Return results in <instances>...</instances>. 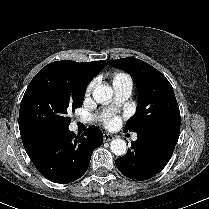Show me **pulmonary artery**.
Listing matches in <instances>:
<instances>
[{
	"mask_svg": "<svg viewBox=\"0 0 209 209\" xmlns=\"http://www.w3.org/2000/svg\"><path fill=\"white\" fill-rule=\"evenodd\" d=\"M115 91V105H121L124 103L132 93V84L124 83V84H116L114 85ZM133 140L137 139L136 135L132 136Z\"/></svg>",
	"mask_w": 209,
	"mask_h": 209,
	"instance_id": "obj_1",
	"label": "pulmonary artery"
}]
</instances>
